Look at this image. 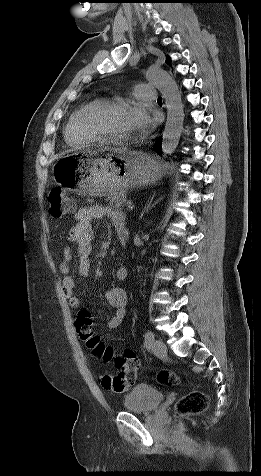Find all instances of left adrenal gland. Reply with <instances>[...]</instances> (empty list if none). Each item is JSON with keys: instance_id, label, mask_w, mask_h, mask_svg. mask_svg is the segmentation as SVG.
Masks as SVG:
<instances>
[{"instance_id": "1", "label": "left adrenal gland", "mask_w": 261, "mask_h": 476, "mask_svg": "<svg viewBox=\"0 0 261 476\" xmlns=\"http://www.w3.org/2000/svg\"><path fill=\"white\" fill-rule=\"evenodd\" d=\"M153 198H154V195L152 196V198L150 199V201L148 202V204L145 206L144 212L148 213V211H149L156 203H158L159 200H157L155 203L152 204Z\"/></svg>"}]
</instances>
